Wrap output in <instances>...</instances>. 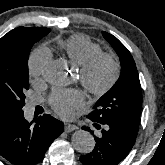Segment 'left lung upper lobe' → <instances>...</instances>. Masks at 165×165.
Masks as SVG:
<instances>
[{
  "label": "left lung upper lobe",
  "mask_w": 165,
  "mask_h": 165,
  "mask_svg": "<svg viewBox=\"0 0 165 165\" xmlns=\"http://www.w3.org/2000/svg\"><path fill=\"white\" fill-rule=\"evenodd\" d=\"M121 61V74L115 85L104 94L87 116L100 123H113L138 131L141 113V85L129 50L113 35L103 32Z\"/></svg>",
  "instance_id": "1"
}]
</instances>
